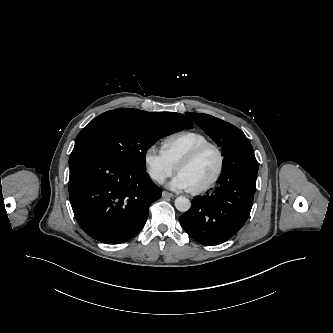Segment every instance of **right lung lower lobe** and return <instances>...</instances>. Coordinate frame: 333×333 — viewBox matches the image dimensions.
Listing matches in <instances>:
<instances>
[{"mask_svg":"<svg viewBox=\"0 0 333 333\" xmlns=\"http://www.w3.org/2000/svg\"><path fill=\"white\" fill-rule=\"evenodd\" d=\"M69 168L75 218L102 243L120 244L136 235L146 223L149 206L161 197L162 190L145 171L133 170L91 147L74 148Z\"/></svg>","mask_w":333,"mask_h":333,"instance_id":"98d812e1","label":"right lung lower lobe"}]
</instances>
